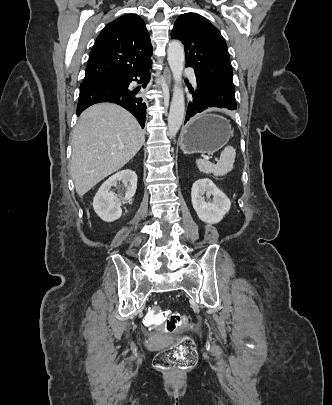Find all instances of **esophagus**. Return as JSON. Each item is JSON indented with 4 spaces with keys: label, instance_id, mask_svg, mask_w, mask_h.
I'll list each match as a JSON object with an SVG mask.
<instances>
[{
    "label": "esophagus",
    "instance_id": "34e87169",
    "mask_svg": "<svg viewBox=\"0 0 332 405\" xmlns=\"http://www.w3.org/2000/svg\"><path fill=\"white\" fill-rule=\"evenodd\" d=\"M165 78H166V81H167L168 85L170 86V84H171V73H170V71L168 69L165 70Z\"/></svg>",
    "mask_w": 332,
    "mask_h": 405
}]
</instances>
